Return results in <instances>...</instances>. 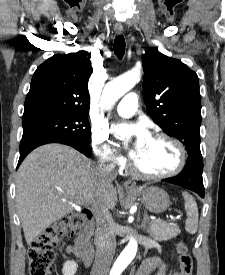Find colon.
<instances>
[{
  "label": "colon",
  "instance_id": "colon-1",
  "mask_svg": "<svg viewBox=\"0 0 225 275\" xmlns=\"http://www.w3.org/2000/svg\"><path fill=\"white\" fill-rule=\"evenodd\" d=\"M92 220L89 210L83 209L54 222L44 229L31 243L29 257V275H50L56 259L55 250L60 239L79 232ZM180 275H193V261L184 243L177 246Z\"/></svg>",
  "mask_w": 225,
  "mask_h": 275
}]
</instances>
